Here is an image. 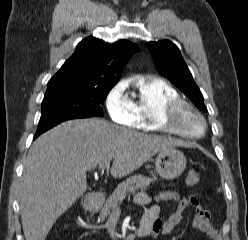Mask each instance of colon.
Listing matches in <instances>:
<instances>
[{
  "mask_svg": "<svg viewBox=\"0 0 248 240\" xmlns=\"http://www.w3.org/2000/svg\"><path fill=\"white\" fill-rule=\"evenodd\" d=\"M199 180V174L196 171H190L186 177V184L188 186L195 185Z\"/></svg>",
  "mask_w": 248,
  "mask_h": 240,
  "instance_id": "5ec220e1",
  "label": "colon"
}]
</instances>
